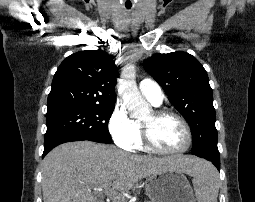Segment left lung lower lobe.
Wrapping results in <instances>:
<instances>
[{
	"mask_svg": "<svg viewBox=\"0 0 255 202\" xmlns=\"http://www.w3.org/2000/svg\"><path fill=\"white\" fill-rule=\"evenodd\" d=\"M207 160L211 161L218 170H220V158L219 159H213V158H207Z\"/></svg>",
	"mask_w": 255,
	"mask_h": 202,
	"instance_id": "1",
	"label": "left lung lower lobe"
}]
</instances>
